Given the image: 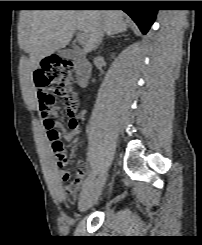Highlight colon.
Here are the masks:
<instances>
[{
    "mask_svg": "<svg viewBox=\"0 0 202 245\" xmlns=\"http://www.w3.org/2000/svg\"><path fill=\"white\" fill-rule=\"evenodd\" d=\"M74 76L75 65L66 59L46 60L34 71L37 109L43 117L45 126L50 127L54 122L51 115L53 94L65 101L67 111L71 116H75L82 108L83 101L79 90L74 86ZM48 137L54 149H62V143L56 131H50Z\"/></svg>",
    "mask_w": 202,
    "mask_h": 245,
    "instance_id": "obj_1",
    "label": "colon"
}]
</instances>
